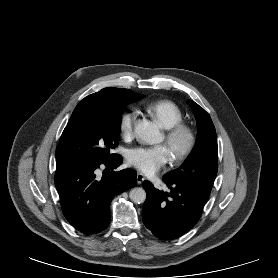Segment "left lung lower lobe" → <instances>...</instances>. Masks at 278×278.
Listing matches in <instances>:
<instances>
[{
  "mask_svg": "<svg viewBox=\"0 0 278 278\" xmlns=\"http://www.w3.org/2000/svg\"><path fill=\"white\" fill-rule=\"evenodd\" d=\"M170 189L160 191L144 181L147 193L142 216L154 236L173 240L190 230L199 220L211 190L189 183H180L163 177Z\"/></svg>",
  "mask_w": 278,
  "mask_h": 278,
  "instance_id": "left-lung-lower-lobe-1",
  "label": "left lung lower lobe"
}]
</instances>
